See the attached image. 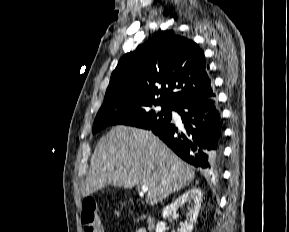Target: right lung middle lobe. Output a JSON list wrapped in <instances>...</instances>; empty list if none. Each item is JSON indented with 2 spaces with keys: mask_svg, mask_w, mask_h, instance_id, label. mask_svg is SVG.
I'll return each instance as SVG.
<instances>
[{
  "mask_svg": "<svg viewBox=\"0 0 289 232\" xmlns=\"http://www.w3.org/2000/svg\"><path fill=\"white\" fill-rule=\"evenodd\" d=\"M157 106H161L160 111L155 110ZM174 109L168 105L134 97L105 99L94 120L93 133L95 134L113 124H124L150 130L169 123L171 111Z\"/></svg>",
  "mask_w": 289,
  "mask_h": 232,
  "instance_id": "1",
  "label": "right lung middle lobe"
}]
</instances>
